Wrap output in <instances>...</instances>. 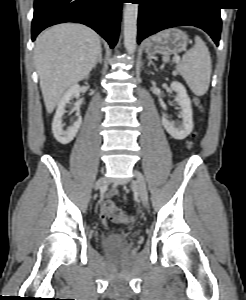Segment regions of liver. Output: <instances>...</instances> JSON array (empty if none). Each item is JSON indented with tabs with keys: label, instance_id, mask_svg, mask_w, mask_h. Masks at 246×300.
<instances>
[{
	"label": "liver",
	"instance_id": "1",
	"mask_svg": "<svg viewBox=\"0 0 246 300\" xmlns=\"http://www.w3.org/2000/svg\"><path fill=\"white\" fill-rule=\"evenodd\" d=\"M100 51L99 35L81 24L55 25L37 37L34 63L48 113L69 86L89 75Z\"/></svg>",
	"mask_w": 246,
	"mask_h": 300
}]
</instances>
